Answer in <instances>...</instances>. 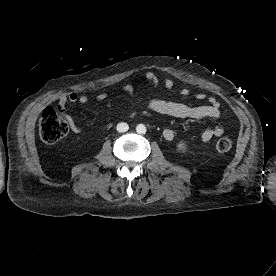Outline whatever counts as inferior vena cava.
I'll list each match as a JSON object with an SVG mask.
<instances>
[{"label": "inferior vena cava", "instance_id": "obj_1", "mask_svg": "<svg viewBox=\"0 0 276 276\" xmlns=\"http://www.w3.org/2000/svg\"><path fill=\"white\" fill-rule=\"evenodd\" d=\"M128 129H129V126L127 123L121 122V123H118V125H117L118 132L123 133V132L128 131Z\"/></svg>", "mask_w": 276, "mask_h": 276}]
</instances>
